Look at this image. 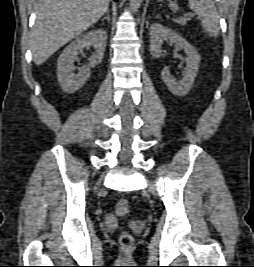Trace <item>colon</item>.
<instances>
[{
  "instance_id": "5ec220e1",
  "label": "colon",
  "mask_w": 254,
  "mask_h": 267,
  "mask_svg": "<svg viewBox=\"0 0 254 267\" xmlns=\"http://www.w3.org/2000/svg\"><path fill=\"white\" fill-rule=\"evenodd\" d=\"M116 211L120 216H125L129 213V202L126 199H121L116 204ZM119 242L124 248H129L133 244V237L129 232H123L120 235Z\"/></svg>"
}]
</instances>
